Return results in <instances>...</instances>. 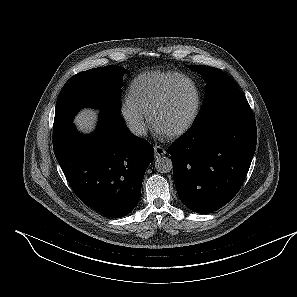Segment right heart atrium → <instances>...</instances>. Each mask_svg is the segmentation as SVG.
<instances>
[{"label": "right heart atrium", "mask_w": 297, "mask_h": 297, "mask_svg": "<svg viewBox=\"0 0 297 297\" xmlns=\"http://www.w3.org/2000/svg\"><path fill=\"white\" fill-rule=\"evenodd\" d=\"M121 116L130 131L136 136H143L147 131V116L129 97L124 98L120 104Z\"/></svg>", "instance_id": "obj_1"}]
</instances>
